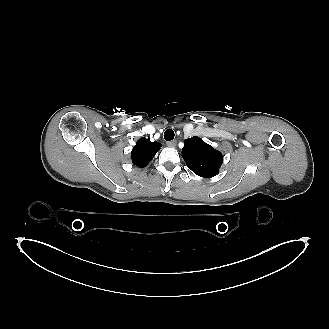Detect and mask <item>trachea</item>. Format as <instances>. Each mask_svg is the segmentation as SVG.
Masks as SVG:
<instances>
[{
    "label": "trachea",
    "instance_id": "1",
    "mask_svg": "<svg viewBox=\"0 0 329 329\" xmlns=\"http://www.w3.org/2000/svg\"><path fill=\"white\" fill-rule=\"evenodd\" d=\"M174 131L172 129H167L165 132H164V138L165 140L167 141H171L174 139Z\"/></svg>",
    "mask_w": 329,
    "mask_h": 329
}]
</instances>
